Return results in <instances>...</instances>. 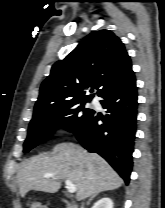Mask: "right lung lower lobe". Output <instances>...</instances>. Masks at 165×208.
Wrapping results in <instances>:
<instances>
[{
  "label": "right lung lower lobe",
  "instance_id": "obj_1",
  "mask_svg": "<svg viewBox=\"0 0 165 208\" xmlns=\"http://www.w3.org/2000/svg\"><path fill=\"white\" fill-rule=\"evenodd\" d=\"M101 104L106 117L95 111L75 132L81 145L101 155L128 184L132 171V153L137 118V87L134 73L116 86L104 91ZM103 120V124H98Z\"/></svg>",
  "mask_w": 165,
  "mask_h": 208
}]
</instances>
